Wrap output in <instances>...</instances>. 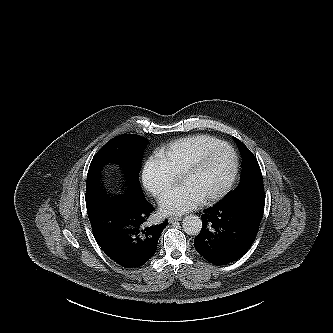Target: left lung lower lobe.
Here are the masks:
<instances>
[{
	"label": "left lung lower lobe",
	"instance_id": "left-lung-lower-lobe-1",
	"mask_svg": "<svg viewBox=\"0 0 333 333\" xmlns=\"http://www.w3.org/2000/svg\"><path fill=\"white\" fill-rule=\"evenodd\" d=\"M264 206L263 184L230 192L203 211L202 229L194 239L196 251L217 266L238 260L256 238Z\"/></svg>",
	"mask_w": 333,
	"mask_h": 333
}]
</instances>
